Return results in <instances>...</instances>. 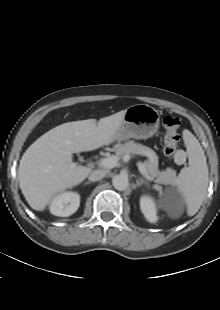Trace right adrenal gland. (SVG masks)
<instances>
[{"mask_svg":"<svg viewBox=\"0 0 220 310\" xmlns=\"http://www.w3.org/2000/svg\"><path fill=\"white\" fill-rule=\"evenodd\" d=\"M90 183H91V182L87 181V182L84 183V185H87V184H90Z\"/></svg>","mask_w":220,"mask_h":310,"instance_id":"2a0ac1e0","label":"right adrenal gland"}]
</instances>
